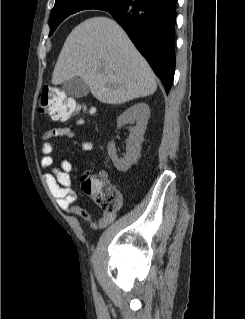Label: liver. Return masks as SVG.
Listing matches in <instances>:
<instances>
[{
	"instance_id": "1",
	"label": "liver",
	"mask_w": 245,
	"mask_h": 319,
	"mask_svg": "<svg viewBox=\"0 0 245 319\" xmlns=\"http://www.w3.org/2000/svg\"><path fill=\"white\" fill-rule=\"evenodd\" d=\"M81 78L102 103L121 104L152 95L156 77L125 31L114 20L96 16L77 25L57 59L52 83Z\"/></svg>"
}]
</instances>
